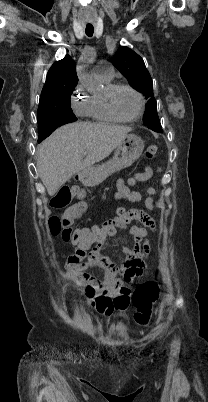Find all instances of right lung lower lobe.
Masks as SVG:
<instances>
[{"mask_svg":"<svg viewBox=\"0 0 208 402\" xmlns=\"http://www.w3.org/2000/svg\"><path fill=\"white\" fill-rule=\"evenodd\" d=\"M65 123L60 122L58 120H46L43 122L38 123V128L39 131L44 133V136H49L56 128H58L61 125H64ZM45 137V138H46Z\"/></svg>","mask_w":208,"mask_h":402,"instance_id":"98d812e1","label":"right lung lower lobe"}]
</instances>
